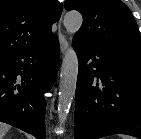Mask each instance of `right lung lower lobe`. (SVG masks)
Segmentation results:
<instances>
[{
	"label": "right lung lower lobe",
	"mask_w": 141,
	"mask_h": 139,
	"mask_svg": "<svg viewBox=\"0 0 141 139\" xmlns=\"http://www.w3.org/2000/svg\"><path fill=\"white\" fill-rule=\"evenodd\" d=\"M59 43L55 35L39 45L0 57V121L45 139V99L55 80Z\"/></svg>",
	"instance_id": "right-lung-lower-lobe-1"
}]
</instances>
